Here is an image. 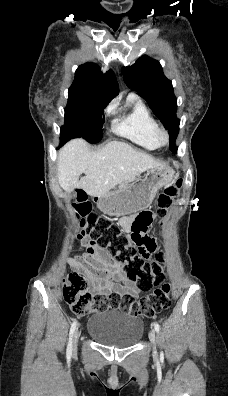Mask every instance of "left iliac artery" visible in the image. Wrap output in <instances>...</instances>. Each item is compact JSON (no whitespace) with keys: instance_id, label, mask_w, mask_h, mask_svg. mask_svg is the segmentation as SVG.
<instances>
[{"instance_id":"left-iliac-artery-1","label":"left iliac artery","mask_w":228,"mask_h":396,"mask_svg":"<svg viewBox=\"0 0 228 396\" xmlns=\"http://www.w3.org/2000/svg\"><path fill=\"white\" fill-rule=\"evenodd\" d=\"M154 328H155V331L158 333L159 330H160V325L157 322H155L154 323Z\"/></svg>"}]
</instances>
